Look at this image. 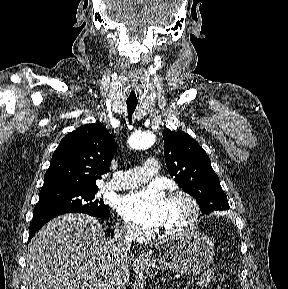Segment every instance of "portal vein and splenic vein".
<instances>
[{
    "label": "portal vein and splenic vein",
    "instance_id": "portal-vein-and-splenic-vein-1",
    "mask_svg": "<svg viewBox=\"0 0 288 289\" xmlns=\"http://www.w3.org/2000/svg\"><path fill=\"white\" fill-rule=\"evenodd\" d=\"M194 284L193 281H188L185 286H184V289H188L190 286H192Z\"/></svg>",
    "mask_w": 288,
    "mask_h": 289
}]
</instances>
